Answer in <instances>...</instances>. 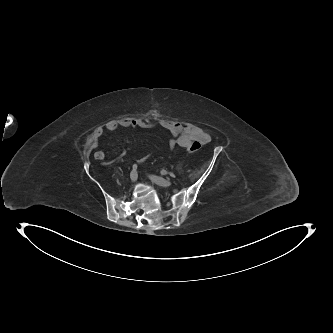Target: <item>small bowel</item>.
Masks as SVG:
<instances>
[{"instance_id": "small-bowel-1", "label": "small bowel", "mask_w": 333, "mask_h": 333, "mask_svg": "<svg viewBox=\"0 0 333 333\" xmlns=\"http://www.w3.org/2000/svg\"><path fill=\"white\" fill-rule=\"evenodd\" d=\"M160 126L167 131L171 138L168 141L170 150H174L176 147L185 148L189 151L193 142L198 141L202 145L210 142L211 137L200 127L191 123H180L170 120H162ZM106 129L109 131H115L118 128H142L148 129L152 127V124L143 119L125 118L118 121H110L106 124ZM103 135V129L101 127L95 129L93 132L88 146L90 149L95 150L99 145V140ZM150 155L138 159L139 164L145 163L149 159ZM94 158L96 160H105L106 155L101 150L94 152Z\"/></svg>"}]
</instances>
